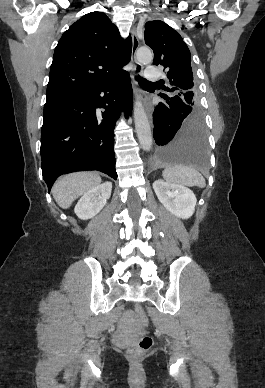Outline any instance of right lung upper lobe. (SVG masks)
Here are the masks:
<instances>
[{
	"label": "right lung upper lobe",
	"instance_id": "obj_1",
	"mask_svg": "<svg viewBox=\"0 0 265 388\" xmlns=\"http://www.w3.org/2000/svg\"><path fill=\"white\" fill-rule=\"evenodd\" d=\"M131 51V37L124 41L106 14L84 15L55 48L46 103L112 81L124 72Z\"/></svg>",
	"mask_w": 265,
	"mask_h": 388
}]
</instances>
